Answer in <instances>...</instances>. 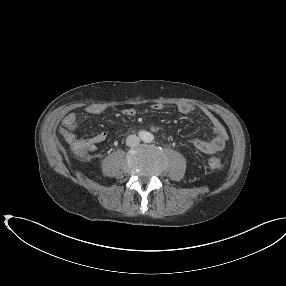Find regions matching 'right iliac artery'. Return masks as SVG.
Instances as JSON below:
<instances>
[{
  "label": "right iliac artery",
  "mask_w": 286,
  "mask_h": 286,
  "mask_svg": "<svg viewBox=\"0 0 286 286\" xmlns=\"http://www.w3.org/2000/svg\"><path fill=\"white\" fill-rule=\"evenodd\" d=\"M146 136H147V133H146L145 131H140V132H139V137H140L141 139H145Z\"/></svg>",
  "instance_id": "82829eb1"
}]
</instances>
